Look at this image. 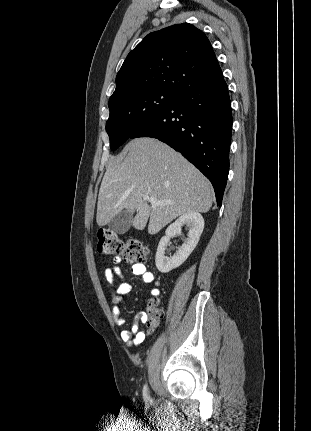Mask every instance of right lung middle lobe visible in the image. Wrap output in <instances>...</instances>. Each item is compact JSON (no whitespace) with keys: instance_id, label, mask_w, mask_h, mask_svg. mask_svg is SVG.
Wrapping results in <instances>:
<instances>
[{"instance_id":"1","label":"right lung middle lobe","mask_w":311,"mask_h":431,"mask_svg":"<svg viewBox=\"0 0 311 431\" xmlns=\"http://www.w3.org/2000/svg\"><path fill=\"white\" fill-rule=\"evenodd\" d=\"M178 93L161 90H141L111 98L106 131L112 150L117 149L141 126L167 108Z\"/></svg>"}]
</instances>
